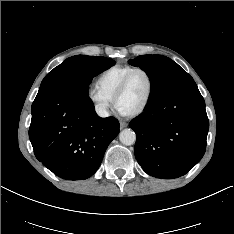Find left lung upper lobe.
<instances>
[{"label":"left lung upper lobe","mask_w":234,"mask_h":234,"mask_svg":"<svg viewBox=\"0 0 234 234\" xmlns=\"http://www.w3.org/2000/svg\"><path fill=\"white\" fill-rule=\"evenodd\" d=\"M132 66L140 67L151 81V94L147 106L168 94L178 86L194 81L177 63L162 55H141L129 60Z\"/></svg>","instance_id":"5c2ea615"}]
</instances>
